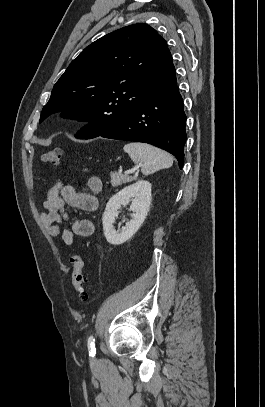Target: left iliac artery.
Segmentation results:
<instances>
[{"mask_svg":"<svg viewBox=\"0 0 265 407\" xmlns=\"http://www.w3.org/2000/svg\"><path fill=\"white\" fill-rule=\"evenodd\" d=\"M88 349H89V355L93 357L96 353L95 338L93 337V335H91L88 339Z\"/></svg>","mask_w":265,"mask_h":407,"instance_id":"left-iliac-artery-1","label":"left iliac artery"}]
</instances>
